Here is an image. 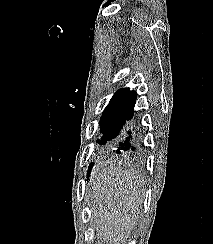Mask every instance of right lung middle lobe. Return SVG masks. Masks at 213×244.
Segmentation results:
<instances>
[{"instance_id":"right-lung-middle-lobe-1","label":"right lung middle lobe","mask_w":213,"mask_h":244,"mask_svg":"<svg viewBox=\"0 0 213 244\" xmlns=\"http://www.w3.org/2000/svg\"><path fill=\"white\" fill-rule=\"evenodd\" d=\"M135 98L113 97L102 113L100 127L103 136L100 145L114 141L121 135L128 121L133 118Z\"/></svg>"}]
</instances>
